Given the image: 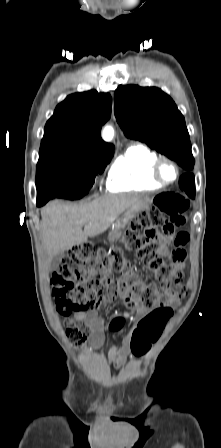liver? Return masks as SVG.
Instances as JSON below:
<instances>
[{
  "mask_svg": "<svg viewBox=\"0 0 221 448\" xmlns=\"http://www.w3.org/2000/svg\"><path fill=\"white\" fill-rule=\"evenodd\" d=\"M143 203L138 195H105L81 205L48 204L41 211L47 262L60 252L86 242L88 237L102 234L123 212Z\"/></svg>",
  "mask_w": 221,
  "mask_h": 448,
  "instance_id": "6515ba94",
  "label": "liver"
}]
</instances>
